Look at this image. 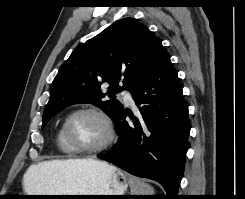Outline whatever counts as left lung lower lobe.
Returning <instances> with one entry per match:
<instances>
[{
    "instance_id": "1",
    "label": "left lung lower lobe",
    "mask_w": 245,
    "mask_h": 199,
    "mask_svg": "<svg viewBox=\"0 0 245 199\" xmlns=\"http://www.w3.org/2000/svg\"><path fill=\"white\" fill-rule=\"evenodd\" d=\"M130 92L139 113L121 111L114 121L119 139L108 154L98 157L159 182L167 198L174 199L184 172L190 124L177 71L164 49ZM127 115L133 124L125 120Z\"/></svg>"
}]
</instances>
